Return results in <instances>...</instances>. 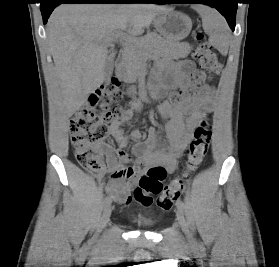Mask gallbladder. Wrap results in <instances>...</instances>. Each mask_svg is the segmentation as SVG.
I'll list each match as a JSON object with an SVG mask.
<instances>
[{"label": "gallbladder", "instance_id": "obj_1", "mask_svg": "<svg viewBox=\"0 0 279 267\" xmlns=\"http://www.w3.org/2000/svg\"><path fill=\"white\" fill-rule=\"evenodd\" d=\"M113 69H114L113 59L108 58L106 60L105 66H104V79H105V81L108 80L111 77V75L113 73Z\"/></svg>", "mask_w": 279, "mask_h": 267}]
</instances>
